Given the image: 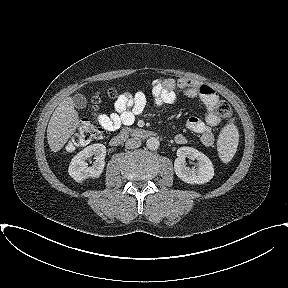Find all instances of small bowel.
Wrapping results in <instances>:
<instances>
[{
  "mask_svg": "<svg viewBox=\"0 0 288 288\" xmlns=\"http://www.w3.org/2000/svg\"><path fill=\"white\" fill-rule=\"evenodd\" d=\"M153 102L157 106L173 104L177 99V93L186 97H198L206 108L204 119L190 117L187 127L200 136V141L205 146L214 143L213 128L221 122L217 112L219 97L207 84L194 79H154L149 82ZM147 105V96L144 91L138 90L134 94H121L115 101L114 111L110 114H100L99 123L108 131H116L122 125H131L137 116L142 114ZM175 142L183 145L187 143V137L179 133L175 136Z\"/></svg>",
  "mask_w": 288,
  "mask_h": 288,
  "instance_id": "obj_1",
  "label": "small bowel"
}]
</instances>
